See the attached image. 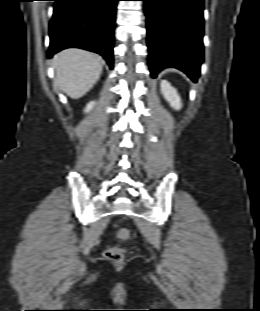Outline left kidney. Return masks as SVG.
<instances>
[{
  "instance_id": "5707ae66",
  "label": "left kidney",
  "mask_w": 260,
  "mask_h": 311,
  "mask_svg": "<svg viewBox=\"0 0 260 311\" xmlns=\"http://www.w3.org/2000/svg\"><path fill=\"white\" fill-rule=\"evenodd\" d=\"M161 92L173 109L180 110L182 108V102L180 96L177 93V90L172 87L168 81H161Z\"/></svg>"
}]
</instances>
